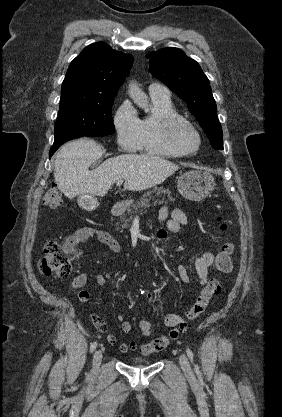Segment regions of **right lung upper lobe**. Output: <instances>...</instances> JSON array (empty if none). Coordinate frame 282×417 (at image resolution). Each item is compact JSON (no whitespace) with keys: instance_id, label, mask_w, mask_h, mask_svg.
Listing matches in <instances>:
<instances>
[{"instance_id":"obj_1","label":"right lung upper lobe","mask_w":282,"mask_h":417,"mask_svg":"<svg viewBox=\"0 0 282 417\" xmlns=\"http://www.w3.org/2000/svg\"><path fill=\"white\" fill-rule=\"evenodd\" d=\"M133 57L103 42L93 43L71 62L61 94L72 92L117 93L128 75Z\"/></svg>"}]
</instances>
